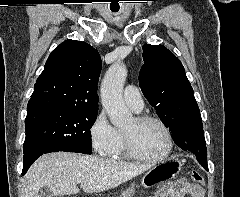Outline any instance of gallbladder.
<instances>
[{
    "instance_id": "bac80fb5",
    "label": "gallbladder",
    "mask_w": 240,
    "mask_h": 197,
    "mask_svg": "<svg viewBox=\"0 0 240 197\" xmlns=\"http://www.w3.org/2000/svg\"><path fill=\"white\" fill-rule=\"evenodd\" d=\"M38 197H54V195L49 188L45 187L39 190Z\"/></svg>"
}]
</instances>
